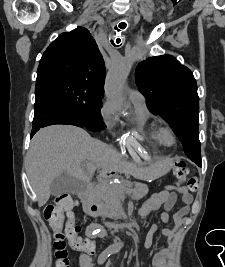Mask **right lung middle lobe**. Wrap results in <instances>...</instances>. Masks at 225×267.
<instances>
[{"label": "right lung middle lobe", "instance_id": "1", "mask_svg": "<svg viewBox=\"0 0 225 267\" xmlns=\"http://www.w3.org/2000/svg\"><path fill=\"white\" fill-rule=\"evenodd\" d=\"M36 86L47 89L58 98L90 131L100 132L106 128L100 109L103 92L83 81L50 76L37 80Z\"/></svg>", "mask_w": 225, "mask_h": 267}]
</instances>
